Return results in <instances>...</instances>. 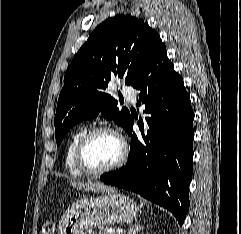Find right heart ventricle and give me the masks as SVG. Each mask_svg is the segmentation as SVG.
<instances>
[{"mask_svg":"<svg viewBox=\"0 0 241 234\" xmlns=\"http://www.w3.org/2000/svg\"><path fill=\"white\" fill-rule=\"evenodd\" d=\"M87 131L85 126L79 127L76 131L70 136L64 157V165L67 172L74 177H81L84 173L77 167L75 162V150L76 146L82 137V135Z\"/></svg>","mask_w":241,"mask_h":234,"instance_id":"obj_1","label":"right heart ventricle"}]
</instances>
